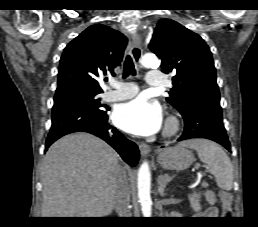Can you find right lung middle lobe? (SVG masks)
Segmentation results:
<instances>
[{
	"instance_id": "right-lung-middle-lobe-1",
	"label": "right lung middle lobe",
	"mask_w": 258,
	"mask_h": 227,
	"mask_svg": "<svg viewBox=\"0 0 258 227\" xmlns=\"http://www.w3.org/2000/svg\"><path fill=\"white\" fill-rule=\"evenodd\" d=\"M99 92L83 90V89H69L58 92L54 97V108L62 106H74L84 109L96 115H105L106 111L102 110V105L98 98Z\"/></svg>"
}]
</instances>
